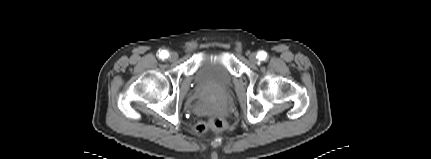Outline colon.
Segmentation results:
<instances>
[{
	"label": "colon",
	"mask_w": 431,
	"mask_h": 159,
	"mask_svg": "<svg viewBox=\"0 0 431 159\" xmlns=\"http://www.w3.org/2000/svg\"><path fill=\"white\" fill-rule=\"evenodd\" d=\"M225 128H226L225 121L218 115H212L207 122L202 120H197L194 122V130L199 134H203L207 132L209 129L216 132H221Z\"/></svg>",
	"instance_id": "1"
}]
</instances>
